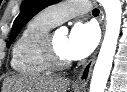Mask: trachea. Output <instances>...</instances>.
<instances>
[{
  "instance_id": "1",
  "label": "trachea",
  "mask_w": 127,
  "mask_h": 92,
  "mask_svg": "<svg viewBox=\"0 0 127 92\" xmlns=\"http://www.w3.org/2000/svg\"><path fill=\"white\" fill-rule=\"evenodd\" d=\"M92 13H93V15H98L99 14V9L95 8Z\"/></svg>"
}]
</instances>
